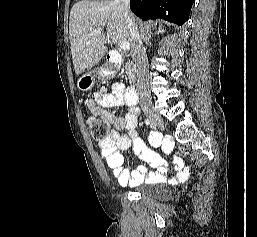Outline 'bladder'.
Here are the masks:
<instances>
[{"label":"bladder","mask_w":257,"mask_h":237,"mask_svg":"<svg viewBox=\"0 0 257 237\" xmlns=\"http://www.w3.org/2000/svg\"><path fill=\"white\" fill-rule=\"evenodd\" d=\"M143 184H153V183H143ZM141 195H146L147 193L144 190L139 191Z\"/></svg>","instance_id":"obj_1"}]
</instances>
